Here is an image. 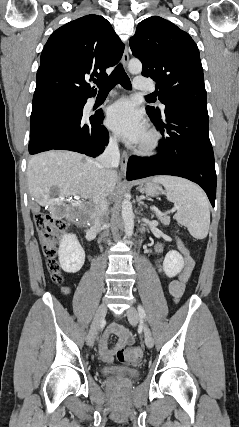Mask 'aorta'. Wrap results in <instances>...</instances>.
I'll list each match as a JSON object with an SVG mask.
<instances>
[{"instance_id":"1","label":"aorta","mask_w":239,"mask_h":427,"mask_svg":"<svg viewBox=\"0 0 239 427\" xmlns=\"http://www.w3.org/2000/svg\"><path fill=\"white\" fill-rule=\"evenodd\" d=\"M128 70L131 74H139L142 71V63L138 59H132L128 64ZM121 209L125 233L130 238L134 230V214L131 202L128 199H124Z\"/></svg>"}]
</instances>
